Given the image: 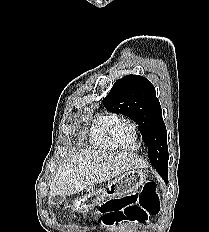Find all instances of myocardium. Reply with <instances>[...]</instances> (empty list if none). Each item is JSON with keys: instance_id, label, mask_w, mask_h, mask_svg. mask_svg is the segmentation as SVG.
Instances as JSON below:
<instances>
[{"instance_id": "myocardium-1", "label": "myocardium", "mask_w": 209, "mask_h": 232, "mask_svg": "<svg viewBox=\"0 0 209 232\" xmlns=\"http://www.w3.org/2000/svg\"><path fill=\"white\" fill-rule=\"evenodd\" d=\"M119 124H127L131 127L132 129V133H133V138L136 139V135H137V125L135 123L134 120H132L129 117H119L111 126L110 128V136L112 141L115 143V145L123 150H128L131 151V148H126L125 146H123L121 144V142L119 141V139L117 138L116 134H115V128L116 126H118Z\"/></svg>"}]
</instances>
